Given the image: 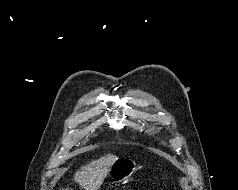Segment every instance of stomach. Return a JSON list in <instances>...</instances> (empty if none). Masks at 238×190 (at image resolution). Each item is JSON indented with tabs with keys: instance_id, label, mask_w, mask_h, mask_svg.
Masks as SVG:
<instances>
[{
	"instance_id": "0dacf381",
	"label": "stomach",
	"mask_w": 238,
	"mask_h": 190,
	"mask_svg": "<svg viewBox=\"0 0 238 190\" xmlns=\"http://www.w3.org/2000/svg\"><path fill=\"white\" fill-rule=\"evenodd\" d=\"M136 171V163L129 158L118 159L110 167L109 176L117 181H125Z\"/></svg>"
}]
</instances>
